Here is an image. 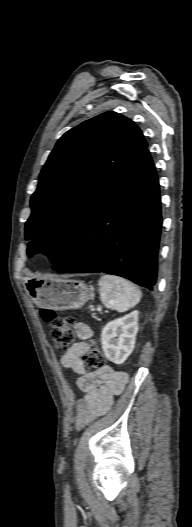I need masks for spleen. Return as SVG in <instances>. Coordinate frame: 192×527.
I'll use <instances>...</instances> for the list:
<instances>
[{
	"label": "spleen",
	"mask_w": 192,
	"mask_h": 527,
	"mask_svg": "<svg viewBox=\"0 0 192 527\" xmlns=\"http://www.w3.org/2000/svg\"><path fill=\"white\" fill-rule=\"evenodd\" d=\"M100 299L108 308L125 312L139 303L142 293L129 281L114 275H103L99 280Z\"/></svg>",
	"instance_id": "1"
}]
</instances>
